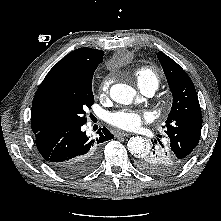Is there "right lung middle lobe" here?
Returning a JSON list of instances; mask_svg holds the SVG:
<instances>
[{"instance_id": "obj_1", "label": "right lung middle lobe", "mask_w": 221, "mask_h": 221, "mask_svg": "<svg viewBox=\"0 0 221 221\" xmlns=\"http://www.w3.org/2000/svg\"><path fill=\"white\" fill-rule=\"evenodd\" d=\"M97 66H87L66 83L51 88L46 95L48 113L62 131L86 123V109L94 104L92 78Z\"/></svg>"}]
</instances>
